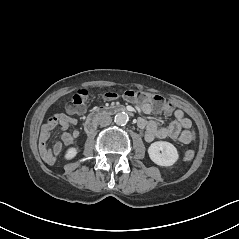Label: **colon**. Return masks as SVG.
<instances>
[{
	"label": "colon",
	"instance_id": "5ec220e1",
	"mask_svg": "<svg viewBox=\"0 0 239 239\" xmlns=\"http://www.w3.org/2000/svg\"><path fill=\"white\" fill-rule=\"evenodd\" d=\"M89 96V92L86 89H79L72 100L67 105V112L71 115L80 114L84 111L86 107V102ZM106 99H115L118 97V94L114 92H107L104 94ZM123 97L129 101L137 103H150L155 110L158 111H169L173 109L171 103L165 100L163 97L157 94L146 93L143 91L128 90L124 92ZM194 158V151L192 149L188 150L185 153L184 160L191 161Z\"/></svg>",
	"mask_w": 239,
	"mask_h": 239
}]
</instances>
